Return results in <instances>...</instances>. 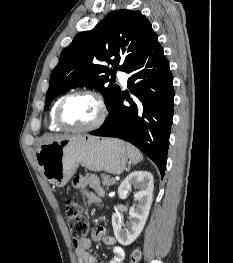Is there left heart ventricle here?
I'll use <instances>...</instances> for the list:
<instances>
[{"mask_svg": "<svg viewBox=\"0 0 233 263\" xmlns=\"http://www.w3.org/2000/svg\"><path fill=\"white\" fill-rule=\"evenodd\" d=\"M64 121L76 128L93 124L99 116V106L89 96H77L70 99L62 111Z\"/></svg>", "mask_w": 233, "mask_h": 263, "instance_id": "left-heart-ventricle-1", "label": "left heart ventricle"}]
</instances>
